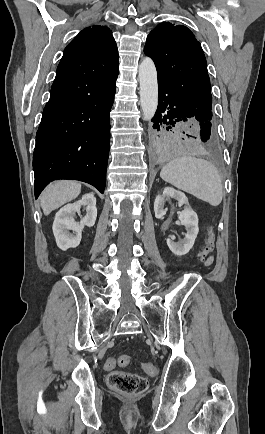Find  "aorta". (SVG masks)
Segmentation results:
<instances>
[{
	"instance_id": "obj_1",
	"label": "aorta",
	"mask_w": 265,
	"mask_h": 434,
	"mask_svg": "<svg viewBox=\"0 0 265 434\" xmlns=\"http://www.w3.org/2000/svg\"><path fill=\"white\" fill-rule=\"evenodd\" d=\"M138 76L143 120L150 122L158 106L157 72L151 58H143L140 62Z\"/></svg>"
}]
</instances>
